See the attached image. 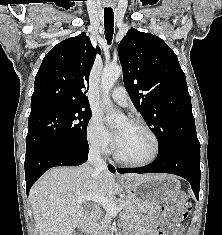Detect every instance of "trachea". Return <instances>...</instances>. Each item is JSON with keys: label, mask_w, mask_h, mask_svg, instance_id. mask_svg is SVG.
Wrapping results in <instances>:
<instances>
[{"label": "trachea", "mask_w": 222, "mask_h": 235, "mask_svg": "<svg viewBox=\"0 0 222 235\" xmlns=\"http://www.w3.org/2000/svg\"><path fill=\"white\" fill-rule=\"evenodd\" d=\"M104 27H105V38L107 43L110 45L113 32H114V12L111 8L104 9Z\"/></svg>", "instance_id": "trachea-1"}]
</instances>
